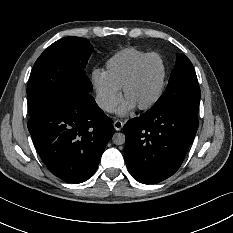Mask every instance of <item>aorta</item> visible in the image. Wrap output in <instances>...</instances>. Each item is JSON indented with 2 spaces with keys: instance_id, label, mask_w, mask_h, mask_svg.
<instances>
[{
  "instance_id": "aorta-1",
  "label": "aorta",
  "mask_w": 233,
  "mask_h": 233,
  "mask_svg": "<svg viewBox=\"0 0 233 233\" xmlns=\"http://www.w3.org/2000/svg\"><path fill=\"white\" fill-rule=\"evenodd\" d=\"M112 141L116 145H123L125 143V135L123 133H115L112 137Z\"/></svg>"
}]
</instances>
